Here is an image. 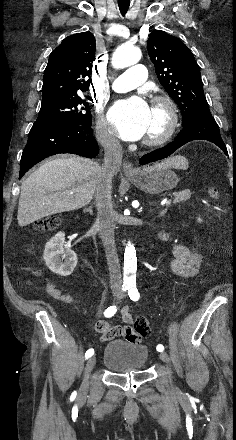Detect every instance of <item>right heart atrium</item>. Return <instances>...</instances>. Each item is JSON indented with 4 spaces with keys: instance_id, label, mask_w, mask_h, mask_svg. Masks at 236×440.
I'll return each mask as SVG.
<instances>
[{
    "instance_id": "right-heart-atrium-1",
    "label": "right heart atrium",
    "mask_w": 236,
    "mask_h": 440,
    "mask_svg": "<svg viewBox=\"0 0 236 440\" xmlns=\"http://www.w3.org/2000/svg\"><path fill=\"white\" fill-rule=\"evenodd\" d=\"M95 132L97 140L106 149L114 150L117 148L118 141L109 127L107 120L102 115H100L97 120Z\"/></svg>"
}]
</instances>
